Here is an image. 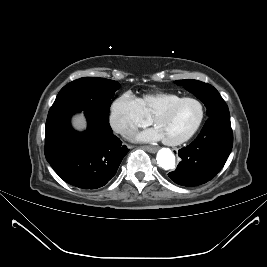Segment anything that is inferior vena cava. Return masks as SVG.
<instances>
[{"label":"inferior vena cava","mask_w":267,"mask_h":267,"mask_svg":"<svg viewBox=\"0 0 267 267\" xmlns=\"http://www.w3.org/2000/svg\"><path fill=\"white\" fill-rule=\"evenodd\" d=\"M120 133H122L123 135H127V136H132L135 134L136 130L130 127H121L118 130Z\"/></svg>","instance_id":"602c4592"}]
</instances>
